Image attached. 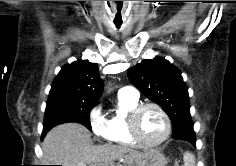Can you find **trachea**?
Wrapping results in <instances>:
<instances>
[{"mask_svg": "<svg viewBox=\"0 0 236 166\" xmlns=\"http://www.w3.org/2000/svg\"><path fill=\"white\" fill-rule=\"evenodd\" d=\"M115 26H116L117 28H120L121 24H120V23H115Z\"/></svg>", "mask_w": 236, "mask_h": 166, "instance_id": "1", "label": "trachea"}]
</instances>
